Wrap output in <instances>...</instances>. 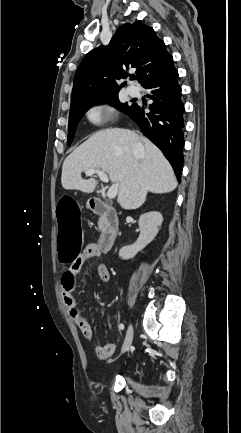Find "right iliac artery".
Masks as SVG:
<instances>
[{
  "label": "right iliac artery",
  "instance_id": "82829eb1",
  "mask_svg": "<svg viewBox=\"0 0 241 433\" xmlns=\"http://www.w3.org/2000/svg\"><path fill=\"white\" fill-rule=\"evenodd\" d=\"M119 329L123 330V329H124V325H123V324H120V325H119Z\"/></svg>",
  "mask_w": 241,
  "mask_h": 433
}]
</instances>
